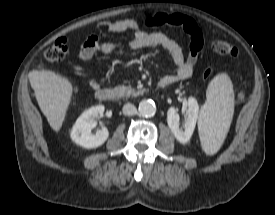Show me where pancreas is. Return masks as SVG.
Masks as SVG:
<instances>
[{
  "label": "pancreas",
  "mask_w": 275,
  "mask_h": 215,
  "mask_svg": "<svg viewBox=\"0 0 275 215\" xmlns=\"http://www.w3.org/2000/svg\"><path fill=\"white\" fill-rule=\"evenodd\" d=\"M116 91L120 97H136L144 92V90H135L132 87L125 85L116 87Z\"/></svg>",
  "instance_id": "1"
}]
</instances>
